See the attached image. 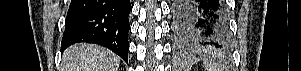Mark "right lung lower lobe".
Returning a JSON list of instances; mask_svg holds the SVG:
<instances>
[{"mask_svg": "<svg viewBox=\"0 0 301 71\" xmlns=\"http://www.w3.org/2000/svg\"><path fill=\"white\" fill-rule=\"evenodd\" d=\"M130 0H72L61 49L86 42L104 46L128 63Z\"/></svg>", "mask_w": 301, "mask_h": 71, "instance_id": "right-lung-lower-lobe-1", "label": "right lung lower lobe"}]
</instances>
